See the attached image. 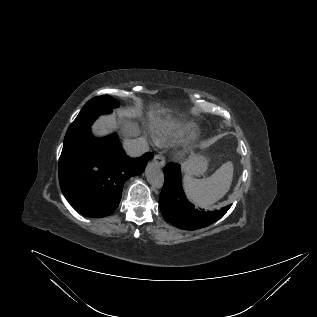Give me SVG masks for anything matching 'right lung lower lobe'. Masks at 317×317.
I'll return each mask as SVG.
<instances>
[{
  "mask_svg": "<svg viewBox=\"0 0 317 317\" xmlns=\"http://www.w3.org/2000/svg\"><path fill=\"white\" fill-rule=\"evenodd\" d=\"M152 156L146 153L130 158L116 135L98 139L88 129L63 146L59 160L61 190L79 213L108 216L119 205L125 181L142 173Z\"/></svg>",
  "mask_w": 317,
  "mask_h": 317,
  "instance_id": "obj_1",
  "label": "right lung lower lobe"
}]
</instances>
